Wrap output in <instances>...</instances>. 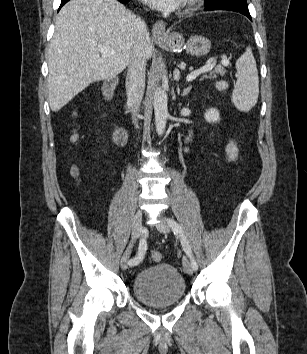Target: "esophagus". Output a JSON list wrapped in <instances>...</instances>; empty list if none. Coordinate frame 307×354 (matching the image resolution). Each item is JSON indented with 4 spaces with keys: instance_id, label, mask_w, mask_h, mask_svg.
Here are the masks:
<instances>
[{
    "instance_id": "obj_1",
    "label": "esophagus",
    "mask_w": 307,
    "mask_h": 354,
    "mask_svg": "<svg viewBox=\"0 0 307 354\" xmlns=\"http://www.w3.org/2000/svg\"><path fill=\"white\" fill-rule=\"evenodd\" d=\"M152 36L153 39L157 41L166 39L167 33H166V25L164 21L162 20L156 21V23L153 25L152 28Z\"/></svg>"
}]
</instances>
